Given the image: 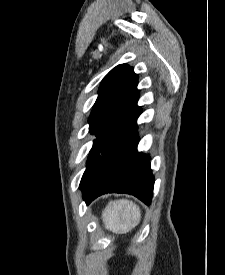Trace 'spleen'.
<instances>
[{"mask_svg": "<svg viewBox=\"0 0 225 275\" xmlns=\"http://www.w3.org/2000/svg\"><path fill=\"white\" fill-rule=\"evenodd\" d=\"M140 220L139 206L126 199L110 201L102 212L105 228L116 234L128 233L139 224Z\"/></svg>", "mask_w": 225, "mask_h": 275, "instance_id": "obj_1", "label": "spleen"}]
</instances>
